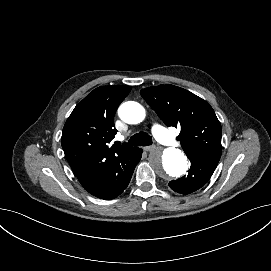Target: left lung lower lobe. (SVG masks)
<instances>
[{
    "mask_svg": "<svg viewBox=\"0 0 271 271\" xmlns=\"http://www.w3.org/2000/svg\"><path fill=\"white\" fill-rule=\"evenodd\" d=\"M188 158L191 161L189 173L169 182L170 188L181 194H190L203 187L211 178L219 162L207 154Z\"/></svg>",
    "mask_w": 271,
    "mask_h": 271,
    "instance_id": "0a47b994",
    "label": "left lung lower lobe"
}]
</instances>
